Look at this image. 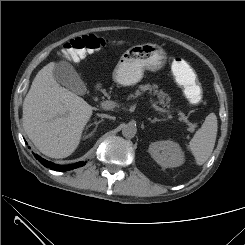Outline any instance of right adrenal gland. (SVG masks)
<instances>
[{"mask_svg":"<svg viewBox=\"0 0 245 245\" xmlns=\"http://www.w3.org/2000/svg\"><path fill=\"white\" fill-rule=\"evenodd\" d=\"M102 121H103V120L95 121V122L92 124V125H95V128H94V130H93L91 133H89V134L86 136V138H89V137H91V136L93 135V133L95 132L97 126H98Z\"/></svg>","mask_w":245,"mask_h":245,"instance_id":"1","label":"right adrenal gland"}]
</instances>
